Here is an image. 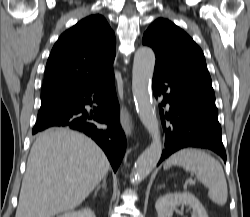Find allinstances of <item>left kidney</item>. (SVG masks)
Segmentation results:
<instances>
[{"mask_svg": "<svg viewBox=\"0 0 250 217\" xmlns=\"http://www.w3.org/2000/svg\"><path fill=\"white\" fill-rule=\"evenodd\" d=\"M190 206L192 217H208L205 208L190 192H175L161 196L155 204L158 217H172L178 206Z\"/></svg>", "mask_w": 250, "mask_h": 217, "instance_id": "left-kidney-1", "label": "left kidney"}]
</instances>
